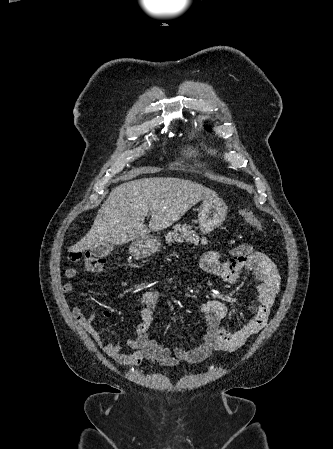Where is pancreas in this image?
Returning a JSON list of instances; mask_svg holds the SVG:
<instances>
[{"label": "pancreas", "instance_id": "cf45deb5", "mask_svg": "<svg viewBox=\"0 0 333 449\" xmlns=\"http://www.w3.org/2000/svg\"><path fill=\"white\" fill-rule=\"evenodd\" d=\"M178 232H180V234H178ZM173 238L177 241V242H182L184 240H186L187 242H190L192 244L197 245L199 243V237L197 234H195V231L190 230V227H188L186 224L184 225H176L174 227V231L173 232H169L167 234V241L168 243H171ZM202 244L206 245L208 242L206 239H202L201 241Z\"/></svg>", "mask_w": 333, "mask_h": 449}]
</instances>
